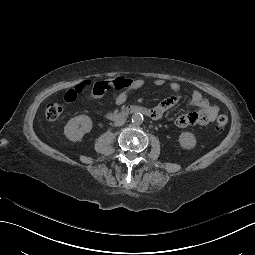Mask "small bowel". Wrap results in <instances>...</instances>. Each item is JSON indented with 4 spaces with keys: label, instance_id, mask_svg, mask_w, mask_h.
<instances>
[{
    "label": "small bowel",
    "instance_id": "small-bowel-1",
    "mask_svg": "<svg viewBox=\"0 0 255 255\" xmlns=\"http://www.w3.org/2000/svg\"><path fill=\"white\" fill-rule=\"evenodd\" d=\"M116 81H119V84H117ZM153 84L159 87L168 86L169 89L175 93L153 108L156 118H158L180 101V96L177 93L180 91L181 87L178 82H166L164 79H155ZM145 85L146 81L144 79L115 78L108 81L96 82L90 90L83 87L70 88L66 91L64 100L69 103L73 102L78 96L87 92L92 98L99 99L104 96L109 88H114L120 91L115 98V104L122 105L126 102L132 91L140 89ZM188 102L198 107L199 110L178 116L175 120L177 127L183 128L189 125H207L215 120L220 110L217 105L212 104L199 91H194Z\"/></svg>",
    "mask_w": 255,
    "mask_h": 255
}]
</instances>
